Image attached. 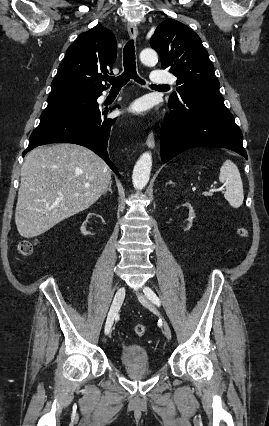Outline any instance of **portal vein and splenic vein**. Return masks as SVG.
I'll return each mask as SVG.
<instances>
[{"label":"portal vein and splenic vein","instance_id":"18ae733b","mask_svg":"<svg viewBox=\"0 0 269 426\" xmlns=\"http://www.w3.org/2000/svg\"><path fill=\"white\" fill-rule=\"evenodd\" d=\"M219 190H221V188H213V189L209 190V193L216 192V191H219Z\"/></svg>","mask_w":269,"mask_h":426}]
</instances>
